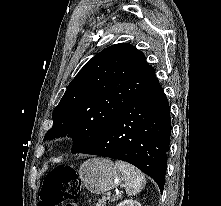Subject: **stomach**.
<instances>
[{
	"mask_svg": "<svg viewBox=\"0 0 221 206\" xmlns=\"http://www.w3.org/2000/svg\"><path fill=\"white\" fill-rule=\"evenodd\" d=\"M79 175L87 189L96 194L117 187L123 179L119 168L106 158L87 160L81 165Z\"/></svg>",
	"mask_w": 221,
	"mask_h": 206,
	"instance_id": "1",
	"label": "stomach"
}]
</instances>
